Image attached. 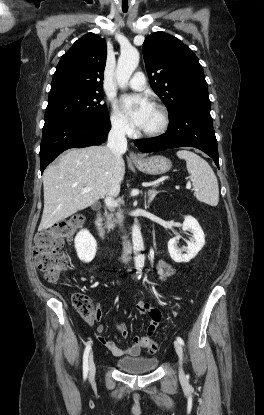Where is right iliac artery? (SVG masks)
Returning <instances> with one entry per match:
<instances>
[{
  "mask_svg": "<svg viewBox=\"0 0 264 415\" xmlns=\"http://www.w3.org/2000/svg\"><path fill=\"white\" fill-rule=\"evenodd\" d=\"M90 350H91V344L88 343L83 354V378L84 380L88 376V370H89L88 357H89Z\"/></svg>",
  "mask_w": 264,
  "mask_h": 415,
  "instance_id": "right-iliac-artery-1",
  "label": "right iliac artery"
}]
</instances>
